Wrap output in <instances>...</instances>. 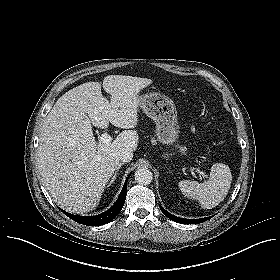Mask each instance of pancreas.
Instances as JSON below:
<instances>
[{
	"label": "pancreas",
	"instance_id": "cf45deb5",
	"mask_svg": "<svg viewBox=\"0 0 280 280\" xmlns=\"http://www.w3.org/2000/svg\"><path fill=\"white\" fill-rule=\"evenodd\" d=\"M180 151L183 152V151H184V148H183V147H180Z\"/></svg>",
	"mask_w": 280,
	"mask_h": 280
}]
</instances>
